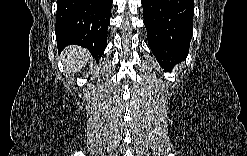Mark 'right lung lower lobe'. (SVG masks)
Here are the masks:
<instances>
[{"instance_id":"98d812e1","label":"right lung lower lobe","mask_w":247,"mask_h":156,"mask_svg":"<svg viewBox=\"0 0 247 156\" xmlns=\"http://www.w3.org/2000/svg\"><path fill=\"white\" fill-rule=\"evenodd\" d=\"M113 0H58L56 39L59 51L76 44L97 60L107 44V28Z\"/></svg>"}]
</instances>
